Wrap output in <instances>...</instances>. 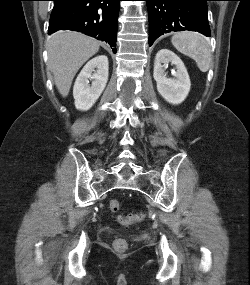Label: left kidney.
I'll use <instances>...</instances> for the list:
<instances>
[{
    "mask_svg": "<svg viewBox=\"0 0 250 285\" xmlns=\"http://www.w3.org/2000/svg\"><path fill=\"white\" fill-rule=\"evenodd\" d=\"M171 62L175 66L174 78L166 77L165 69ZM153 77L157 82L159 94L173 105L181 104L187 97L191 82L182 60L172 51L161 49L154 61Z\"/></svg>",
    "mask_w": 250,
    "mask_h": 285,
    "instance_id": "left-kidney-1",
    "label": "left kidney"
}]
</instances>
